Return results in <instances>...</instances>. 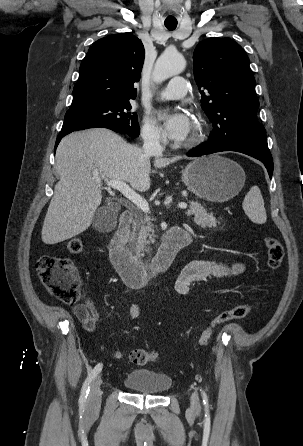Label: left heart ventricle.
Returning a JSON list of instances; mask_svg holds the SVG:
<instances>
[{"label": "left heart ventricle", "instance_id": "obj_1", "mask_svg": "<svg viewBox=\"0 0 303 446\" xmlns=\"http://www.w3.org/2000/svg\"><path fill=\"white\" fill-rule=\"evenodd\" d=\"M193 130H194V121L192 122V124H191V129H190V132H189V134H188V136H187V138L185 139V140H187V139H189L190 138V136L192 135V133H193Z\"/></svg>", "mask_w": 303, "mask_h": 446}]
</instances>
